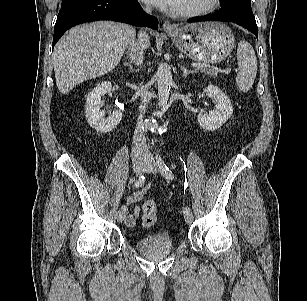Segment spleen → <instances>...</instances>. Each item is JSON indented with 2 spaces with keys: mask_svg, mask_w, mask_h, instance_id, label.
<instances>
[{
  "mask_svg": "<svg viewBox=\"0 0 307 301\" xmlns=\"http://www.w3.org/2000/svg\"><path fill=\"white\" fill-rule=\"evenodd\" d=\"M238 73L236 83L242 92H248L254 83L257 73L255 51L247 41H240L237 48Z\"/></svg>",
  "mask_w": 307,
  "mask_h": 301,
  "instance_id": "1",
  "label": "spleen"
}]
</instances>
